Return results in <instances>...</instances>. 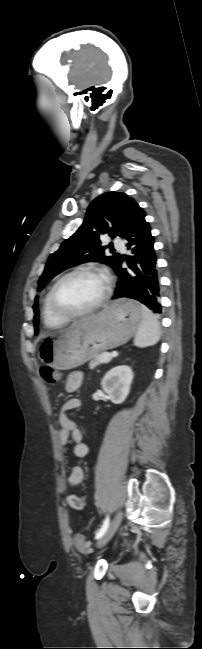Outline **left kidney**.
<instances>
[{
    "label": "left kidney",
    "instance_id": "left-kidney-1",
    "mask_svg": "<svg viewBox=\"0 0 202 649\" xmlns=\"http://www.w3.org/2000/svg\"><path fill=\"white\" fill-rule=\"evenodd\" d=\"M132 380L133 372L131 368L118 366L107 372L102 379L101 386L113 403L120 404L127 398Z\"/></svg>",
    "mask_w": 202,
    "mask_h": 649
}]
</instances>
